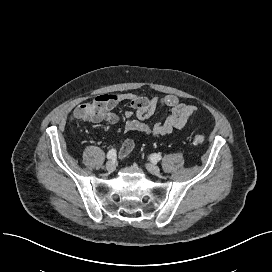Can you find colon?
<instances>
[{"instance_id":"colon-1","label":"colon","mask_w":272,"mask_h":272,"mask_svg":"<svg viewBox=\"0 0 272 272\" xmlns=\"http://www.w3.org/2000/svg\"><path fill=\"white\" fill-rule=\"evenodd\" d=\"M204 141L205 139L203 135L197 134L193 137V144L195 145H201L204 143Z\"/></svg>"}]
</instances>
